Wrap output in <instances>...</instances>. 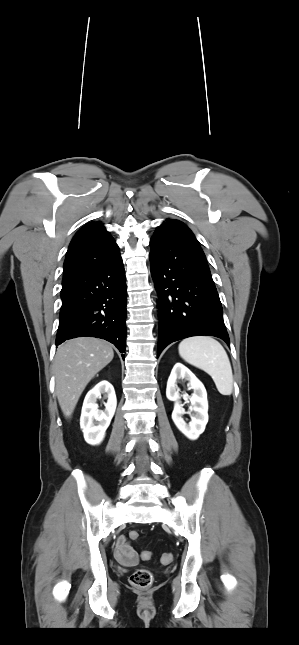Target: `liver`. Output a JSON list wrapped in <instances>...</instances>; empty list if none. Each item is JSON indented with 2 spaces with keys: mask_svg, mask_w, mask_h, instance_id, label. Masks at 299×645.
I'll use <instances>...</instances> for the list:
<instances>
[{
  "mask_svg": "<svg viewBox=\"0 0 299 645\" xmlns=\"http://www.w3.org/2000/svg\"><path fill=\"white\" fill-rule=\"evenodd\" d=\"M114 352L107 342L79 337L68 340L57 349L54 373L55 390L61 410L70 418L90 380L113 359Z\"/></svg>",
  "mask_w": 299,
  "mask_h": 645,
  "instance_id": "6515ba94",
  "label": "liver"
}]
</instances>
